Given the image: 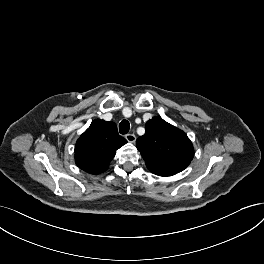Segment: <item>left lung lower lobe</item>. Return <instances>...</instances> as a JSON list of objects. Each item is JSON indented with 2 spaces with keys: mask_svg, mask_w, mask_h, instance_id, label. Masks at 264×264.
<instances>
[{
  "mask_svg": "<svg viewBox=\"0 0 264 264\" xmlns=\"http://www.w3.org/2000/svg\"><path fill=\"white\" fill-rule=\"evenodd\" d=\"M153 174L159 175V176H172L176 174L177 172L174 171H167V170H156V169H149Z\"/></svg>",
  "mask_w": 264,
  "mask_h": 264,
  "instance_id": "1",
  "label": "left lung lower lobe"
}]
</instances>
